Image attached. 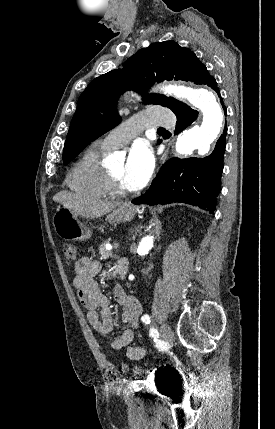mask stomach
<instances>
[{
  "instance_id": "0dacf381",
  "label": "stomach",
  "mask_w": 275,
  "mask_h": 429,
  "mask_svg": "<svg viewBox=\"0 0 275 429\" xmlns=\"http://www.w3.org/2000/svg\"><path fill=\"white\" fill-rule=\"evenodd\" d=\"M137 209L129 203H124L107 215L109 223L128 222L133 219ZM53 226L58 236L65 240L82 241L91 237L92 231L83 224L76 214L66 207L57 209L53 216Z\"/></svg>"
}]
</instances>
